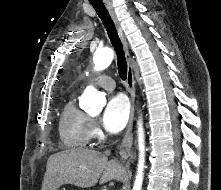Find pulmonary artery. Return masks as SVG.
Returning <instances> with one entry per match:
<instances>
[{
  "label": "pulmonary artery",
  "mask_w": 221,
  "mask_h": 190,
  "mask_svg": "<svg viewBox=\"0 0 221 190\" xmlns=\"http://www.w3.org/2000/svg\"><path fill=\"white\" fill-rule=\"evenodd\" d=\"M93 81L106 90H113L115 88L114 80L107 75H100L93 79Z\"/></svg>",
  "instance_id": "1"
}]
</instances>
